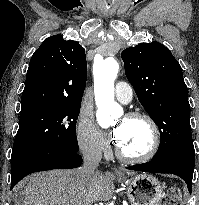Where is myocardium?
I'll return each instance as SVG.
<instances>
[{"label": "myocardium", "instance_id": "myocardium-1", "mask_svg": "<svg viewBox=\"0 0 199 205\" xmlns=\"http://www.w3.org/2000/svg\"><path fill=\"white\" fill-rule=\"evenodd\" d=\"M125 118L141 119L146 122L151 133L150 145L148 149L140 155H128L124 151H122V149L117 144L115 149L117 157L127 163H143L151 160L158 152L161 143V132L157 122L150 114L144 111L128 112L125 115Z\"/></svg>", "mask_w": 199, "mask_h": 205}]
</instances>
